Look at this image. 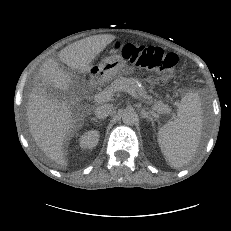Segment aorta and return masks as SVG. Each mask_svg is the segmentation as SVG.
Returning <instances> with one entry per match:
<instances>
[{"mask_svg": "<svg viewBox=\"0 0 231 231\" xmlns=\"http://www.w3.org/2000/svg\"><path fill=\"white\" fill-rule=\"evenodd\" d=\"M137 120V114L132 108L125 109L122 114V121L127 125H132Z\"/></svg>", "mask_w": 231, "mask_h": 231, "instance_id": "762f6f07", "label": "aorta"}]
</instances>
